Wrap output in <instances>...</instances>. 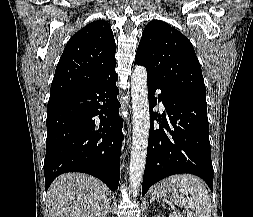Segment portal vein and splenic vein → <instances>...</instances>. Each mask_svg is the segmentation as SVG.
<instances>
[{"label":"portal vein and splenic vein","mask_w":253,"mask_h":217,"mask_svg":"<svg viewBox=\"0 0 253 217\" xmlns=\"http://www.w3.org/2000/svg\"><path fill=\"white\" fill-rule=\"evenodd\" d=\"M188 214L191 215L192 213L190 211H188Z\"/></svg>","instance_id":"portal-vein-and-splenic-vein-1"}]
</instances>
